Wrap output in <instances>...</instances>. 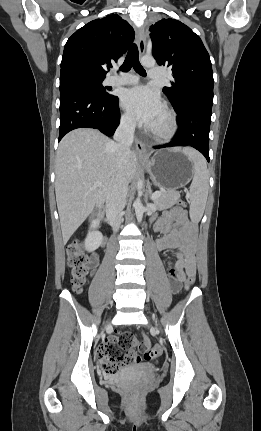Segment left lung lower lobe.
<instances>
[{
  "instance_id": "left-lung-lower-lobe-1",
  "label": "left lung lower lobe",
  "mask_w": 261,
  "mask_h": 431,
  "mask_svg": "<svg viewBox=\"0 0 261 431\" xmlns=\"http://www.w3.org/2000/svg\"><path fill=\"white\" fill-rule=\"evenodd\" d=\"M211 111L212 103L206 101L193 102L176 111L178 131L174 140L154 148L192 146L200 151L209 162Z\"/></svg>"
}]
</instances>
